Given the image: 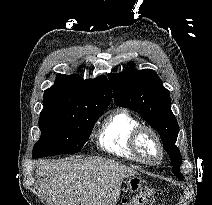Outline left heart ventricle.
I'll use <instances>...</instances> for the list:
<instances>
[{"instance_id":"b2bd125f","label":"left heart ventricle","mask_w":212,"mask_h":205,"mask_svg":"<svg viewBox=\"0 0 212 205\" xmlns=\"http://www.w3.org/2000/svg\"><path fill=\"white\" fill-rule=\"evenodd\" d=\"M144 147L148 153L152 155L156 153L154 146L148 140L144 141Z\"/></svg>"}]
</instances>
